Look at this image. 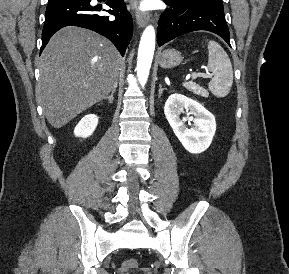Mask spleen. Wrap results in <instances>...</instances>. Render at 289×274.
<instances>
[{
    "label": "spleen",
    "mask_w": 289,
    "mask_h": 274,
    "mask_svg": "<svg viewBox=\"0 0 289 274\" xmlns=\"http://www.w3.org/2000/svg\"><path fill=\"white\" fill-rule=\"evenodd\" d=\"M207 68L214 74L208 84L211 93L217 97H225L233 84V69L225 50L215 41H208Z\"/></svg>",
    "instance_id": "obj_1"
}]
</instances>
